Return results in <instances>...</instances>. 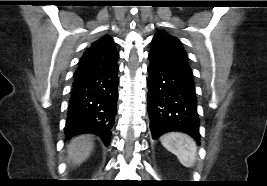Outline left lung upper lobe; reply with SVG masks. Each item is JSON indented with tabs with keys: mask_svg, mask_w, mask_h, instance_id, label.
<instances>
[{
	"mask_svg": "<svg viewBox=\"0 0 267 186\" xmlns=\"http://www.w3.org/2000/svg\"><path fill=\"white\" fill-rule=\"evenodd\" d=\"M149 55L191 76L193 75L188 55L182 43L172 35L158 31L151 42Z\"/></svg>",
	"mask_w": 267,
	"mask_h": 186,
	"instance_id": "left-lung-upper-lobe-1",
	"label": "left lung upper lobe"
}]
</instances>
